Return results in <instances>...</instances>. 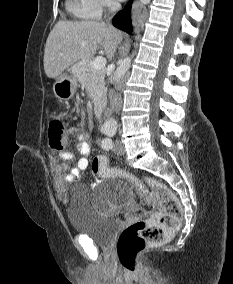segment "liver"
Returning a JSON list of instances; mask_svg holds the SVG:
<instances>
[{
  "label": "liver",
  "instance_id": "liver-1",
  "mask_svg": "<svg viewBox=\"0 0 233 284\" xmlns=\"http://www.w3.org/2000/svg\"><path fill=\"white\" fill-rule=\"evenodd\" d=\"M123 39L113 26L97 21H59L45 45L44 70L56 78L80 59H87L101 46L112 58Z\"/></svg>",
  "mask_w": 233,
  "mask_h": 284
}]
</instances>
